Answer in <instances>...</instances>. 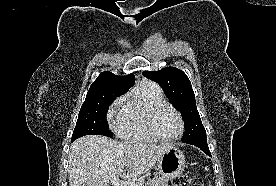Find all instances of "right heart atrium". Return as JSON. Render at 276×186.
I'll return each mask as SVG.
<instances>
[{"label":"right heart atrium","mask_w":276,"mask_h":186,"mask_svg":"<svg viewBox=\"0 0 276 186\" xmlns=\"http://www.w3.org/2000/svg\"><path fill=\"white\" fill-rule=\"evenodd\" d=\"M124 100V97L117 98L108 110V120L114 129H118L123 119Z\"/></svg>","instance_id":"right-heart-atrium-1"}]
</instances>
